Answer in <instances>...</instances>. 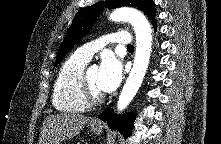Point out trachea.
Returning a JSON list of instances; mask_svg holds the SVG:
<instances>
[{"instance_id":"trachea-1","label":"trachea","mask_w":221,"mask_h":144,"mask_svg":"<svg viewBox=\"0 0 221 144\" xmlns=\"http://www.w3.org/2000/svg\"><path fill=\"white\" fill-rule=\"evenodd\" d=\"M127 49L133 50V45H128Z\"/></svg>"}]
</instances>
